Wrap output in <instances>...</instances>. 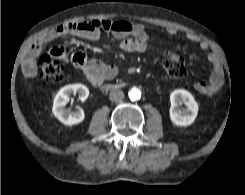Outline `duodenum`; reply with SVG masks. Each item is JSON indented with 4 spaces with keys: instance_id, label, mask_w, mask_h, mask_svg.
<instances>
[{
    "instance_id": "410a0bca",
    "label": "duodenum",
    "mask_w": 245,
    "mask_h": 195,
    "mask_svg": "<svg viewBox=\"0 0 245 195\" xmlns=\"http://www.w3.org/2000/svg\"><path fill=\"white\" fill-rule=\"evenodd\" d=\"M118 86H116V85H106V86H104V88H106V89H114V88H117Z\"/></svg>"
}]
</instances>
